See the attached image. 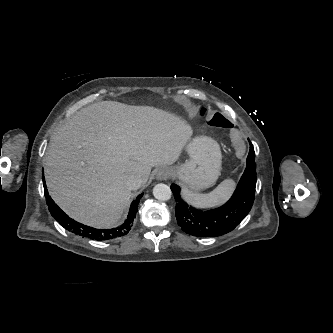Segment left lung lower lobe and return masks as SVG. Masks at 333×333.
I'll list each match as a JSON object with an SVG mask.
<instances>
[{
    "label": "left lung lower lobe",
    "mask_w": 333,
    "mask_h": 333,
    "mask_svg": "<svg viewBox=\"0 0 333 333\" xmlns=\"http://www.w3.org/2000/svg\"><path fill=\"white\" fill-rule=\"evenodd\" d=\"M247 166L237 188L223 206L200 211L189 207L180 197V188L172 184L171 190L176 200L178 225L187 234L197 237L221 236L232 231L252 208L256 188L255 152L251 142Z\"/></svg>",
    "instance_id": "left-lung-lower-lobe-1"
}]
</instances>
